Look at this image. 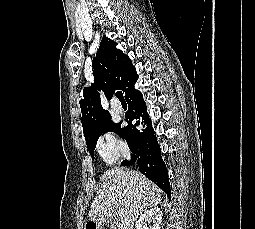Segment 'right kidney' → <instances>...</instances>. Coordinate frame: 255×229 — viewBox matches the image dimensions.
<instances>
[{
	"label": "right kidney",
	"mask_w": 255,
	"mask_h": 229,
	"mask_svg": "<svg viewBox=\"0 0 255 229\" xmlns=\"http://www.w3.org/2000/svg\"><path fill=\"white\" fill-rule=\"evenodd\" d=\"M161 221L162 212L160 208H150L140 216L136 222V229H160ZM147 224H150L149 227Z\"/></svg>",
	"instance_id": "1"
}]
</instances>
